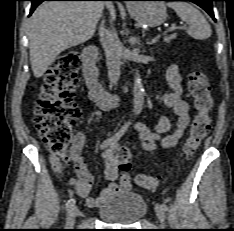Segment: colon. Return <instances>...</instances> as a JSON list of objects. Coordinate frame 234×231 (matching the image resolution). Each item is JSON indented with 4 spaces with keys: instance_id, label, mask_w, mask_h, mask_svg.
I'll return each mask as SVG.
<instances>
[{
    "instance_id": "obj_1",
    "label": "colon",
    "mask_w": 234,
    "mask_h": 231,
    "mask_svg": "<svg viewBox=\"0 0 234 231\" xmlns=\"http://www.w3.org/2000/svg\"><path fill=\"white\" fill-rule=\"evenodd\" d=\"M82 64L79 50H69L57 57L46 71L44 84L36 101L34 123L43 142L56 156L63 157L73 141L72 127L80 118V109L74 98L79 84L78 71ZM195 116L192 120L184 154L190 157L207 136L211 128L210 113L213 108L210 85L206 76L198 70L191 72L188 80ZM117 164L126 174L132 165V154L123 147L116 153ZM135 183L143 188L153 189L158 178L137 174Z\"/></svg>"
}]
</instances>
